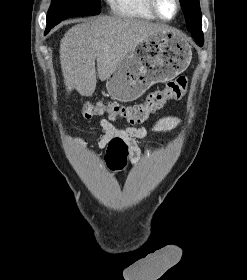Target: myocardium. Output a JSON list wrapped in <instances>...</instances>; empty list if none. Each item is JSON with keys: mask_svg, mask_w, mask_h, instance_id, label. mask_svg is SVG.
Here are the masks:
<instances>
[{"mask_svg": "<svg viewBox=\"0 0 247 280\" xmlns=\"http://www.w3.org/2000/svg\"><path fill=\"white\" fill-rule=\"evenodd\" d=\"M175 1V4H176V11H175V14L173 15V17L171 18H164L158 11V8H157V3H156V0H148V4H149V7L152 11V13L156 16V18L162 20V21H172L174 20L177 15L179 14L180 12V9H181V3H180V0H174Z\"/></svg>", "mask_w": 247, "mask_h": 280, "instance_id": "1", "label": "myocardium"}]
</instances>
